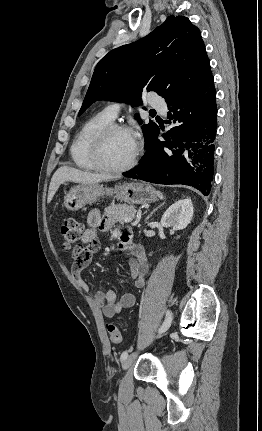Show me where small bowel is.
I'll use <instances>...</instances> for the list:
<instances>
[{
    "label": "small bowel",
    "mask_w": 262,
    "mask_h": 431,
    "mask_svg": "<svg viewBox=\"0 0 262 431\" xmlns=\"http://www.w3.org/2000/svg\"><path fill=\"white\" fill-rule=\"evenodd\" d=\"M88 229L85 231L82 242L88 244V248L81 254L75 255L71 259L72 276L77 285L84 291L90 289V285L82 278L81 272L91 262L92 257L98 252L100 246L96 239V231H108L119 236L123 241V246L129 250L127 257V265L131 272V277L134 285L137 288L144 286V277L148 269L145 252L139 243L135 241V237L130 226H115L111 221L102 214L99 210H92L87 217ZM97 303L101 307L103 315L107 318L113 317L122 309L130 308L135 304V297L131 293H124L119 298L113 289H109L106 293H97Z\"/></svg>",
    "instance_id": "c3829d8e"
}]
</instances>
